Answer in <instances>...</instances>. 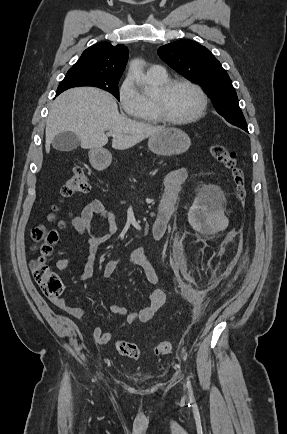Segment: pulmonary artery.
I'll list each match as a JSON object with an SVG mask.
<instances>
[{"mask_svg": "<svg viewBox=\"0 0 287 434\" xmlns=\"http://www.w3.org/2000/svg\"><path fill=\"white\" fill-rule=\"evenodd\" d=\"M148 74L150 77L157 78V79L164 78L167 75L165 69L160 65H152L148 69Z\"/></svg>", "mask_w": 287, "mask_h": 434, "instance_id": "e3ab8cb5", "label": "pulmonary artery"}]
</instances>
